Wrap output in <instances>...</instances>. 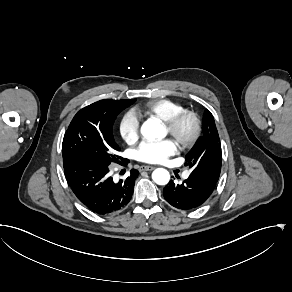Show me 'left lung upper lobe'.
Segmentation results:
<instances>
[{"instance_id":"5c2ea615","label":"left lung upper lobe","mask_w":292,"mask_h":292,"mask_svg":"<svg viewBox=\"0 0 292 292\" xmlns=\"http://www.w3.org/2000/svg\"><path fill=\"white\" fill-rule=\"evenodd\" d=\"M186 165L192 168L190 176L217 183L222 164L221 143L213 115L205 110L202 135L186 155Z\"/></svg>"}]
</instances>
